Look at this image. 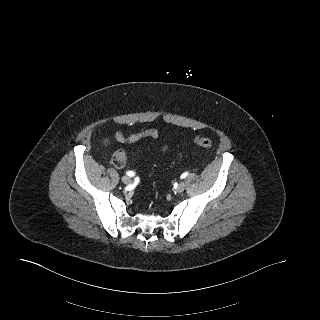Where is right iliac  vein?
I'll list each match as a JSON object with an SVG mask.
<instances>
[{
  "label": "right iliac vein",
  "mask_w": 320,
  "mask_h": 320,
  "mask_svg": "<svg viewBox=\"0 0 320 320\" xmlns=\"http://www.w3.org/2000/svg\"><path fill=\"white\" fill-rule=\"evenodd\" d=\"M122 182H123L124 184H130V183H131V178L128 177V176H123V177H122Z\"/></svg>",
  "instance_id": "obj_1"
}]
</instances>
